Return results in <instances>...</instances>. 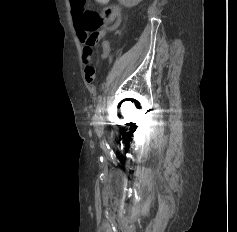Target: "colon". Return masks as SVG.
Returning <instances> with one entry per match:
<instances>
[{
  "label": "colon",
  "instance_id": "5ec220e1",
  "mask_svg": "<svg viewBox=\"0 0 237 232\" xmlns=\"http://www.w3.org/2000/svg\"><path fill=\"white\" fill-rule=\"evenodd\" d=\"M86 0H71L73 18L79 36L87 42L94 44L100 37L99 29L103 21L115 15L112 7H106L99 15L85 7Z\"/></svg>",
  "mask_w": 237,
  "mask_h": 232
}]
</instances>
